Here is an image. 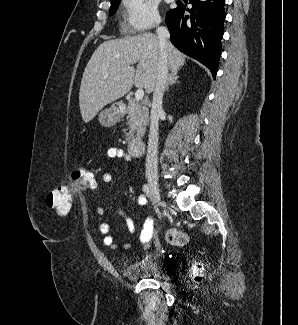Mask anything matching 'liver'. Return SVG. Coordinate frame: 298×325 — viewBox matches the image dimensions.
Instances as JSON below:
<instances>
[{
    "label": "liver",
    "mask_w": 298,
    "mask_h": 325,
    "mask_svg": "<svg viewBox=\"0 0 298 325\" xmlns=\"http://www.w3.org/2000/svg\"><path fill=\"white\" fill-rule=\"evenodd\" d=\"M159 38L153 32H143L128 38L105 40L94 50L83 72L79 106L84 122H90L97 112L130 92L133 84L152 92L155 88L160 56ZM168 66L178 72L185 64L186 54L166 42ZM138 62L137 68L132 66Z\"/></svg>",
    "instance_id": "obj_1"
}]
</instances>
